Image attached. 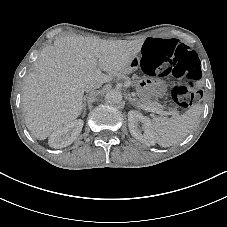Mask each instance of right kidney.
I'll return each instance as SVG.
<instances>
[{"label": "right kidney", "mask_w": 227, "mask_h": 227, "mask_svg": "<svg viewBox=\"0 0 227 227\" xmlns=\"http://www.w3.org/2000/svg\"><path fill=\"white\" fill-rule=\"evenodd\" d=\"M82 128L83 121L74 120L65 127L54 130L49 137L50 147L60 149L69 146L79 136Z\"/></svg>", "instance_id": "ca27d5eb"}]
</instances>
